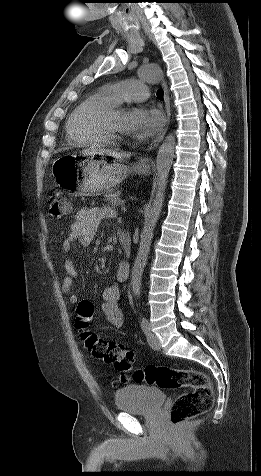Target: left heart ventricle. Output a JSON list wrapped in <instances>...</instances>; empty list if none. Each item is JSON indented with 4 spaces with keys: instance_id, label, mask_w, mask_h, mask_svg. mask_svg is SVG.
<instances>
[{
    "instance_id": "obj_1",
    "label": "left heart ventricle",
    "mask_w": 261,
    "mask_h": 476,
    "mask_svg": "<svg viewBox=\"0 0 261 476\" xmlns=\"http://www.w3.org/2000/svg\"><path fill=\"white\" fill-rule=\"evenodd\" d=\"M126 116L127 112L125 110H119L112 119L113 126L122 133H128L125 124Z\"/></svg>"
}]
</instances>
